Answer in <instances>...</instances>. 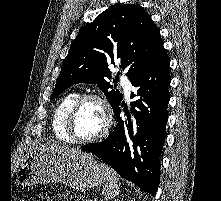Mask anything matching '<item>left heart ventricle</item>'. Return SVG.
<instances>
[{"instance_id": "1", "label": "left heart ventricle", "mask_w": 221, "mask_h": 201, "mask_svg": "<svg viewBox=\"0 0 221 201\" xmlns=\"http://www.w3.org/2000/svg\"><path fill=\"white\" fill-rule=\"evenodd\" d=\"M104 123L105 116L102 106L97 101L90 100L79 109L74 121V132L79 138H90L100 133Z\"/></svg>"}]
</instances>
